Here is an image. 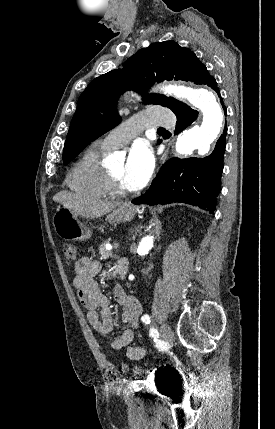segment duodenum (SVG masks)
I'll return each instance as SVG.
<instances>
[{
  "label": "duodenum",
  "instance_id": "410a0bca",
  "mask_svg": "<svg viewBox=\"0 0 275 429\" xmlns=\"http://www.w3.org/2000/svg\"><path fill=\"white\" fill-rule=\"evenodd\" d=\"M127 262L125 260H120L118 261L117 265H116V273L118 274V276L120 278H124L127 272Z\"/></svg>",
  "mask_w": 275,
  "mask_h": 429
}]
</instances>
